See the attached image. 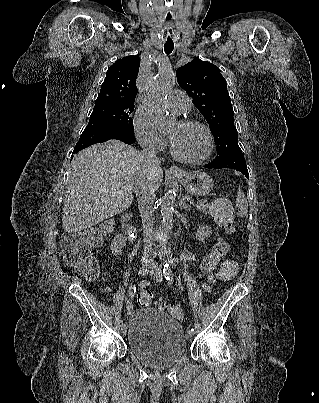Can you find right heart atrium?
I'll return each mask as SVG.
<instances>
[{
    "mask_svg": "<svg viewBox=\"0 0 319 403\" xmlns=\"http://www.w3.org/2000/svg\"><path fill=\"white\" fill-rule=\"evenodd\" d=\"M133 130L142 148L151 153H159L163 150L165 142L143 110L136 111L133 118Z\"/></svg>",
    "mask_w": 319,
    "mask_h": 403,
    "instance_id": "1",
    "label": "right heart atrium"
}]
</instances>
